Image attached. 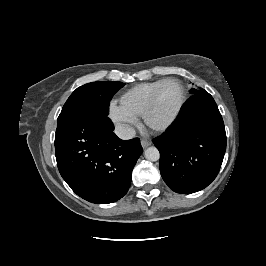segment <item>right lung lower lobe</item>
Here are the masks:
<instances>
[{
	"label": "right lung lower lobe",
	"instance_id": "right-lung-lower-lobe-1",
	"mask_svg": "<svg viewBox=\"0 0 266 266\" xmlns=\"http://www.w3.org/2000/svg\"><path fill=\"white\" fill-rule=\"evenodd\" d=\"M106 114L86 111L56 133L59 172L81 198L108 204L122 198L143 149L138 138L119 139Z\"/></svg>",
	"mask_w": 266,
	"mask_h": 266
}]
</instances>
